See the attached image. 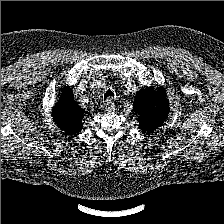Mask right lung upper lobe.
I'll return each mask as SVG.
<instances>
[{
  "label": "right lung upper lobe",
  "instance_id": "cb5924a9",
  "mask_svg": "<svg viewBox=\"0 0 224 224\" xmlns=\"http://www.w3.org/2000/svg\"><path fill=\"white\" fill-rule=\"evenodd\" d=\"M60 99L52 110L55 124L65 131V134L75 135L82 129L84 110L74 101L70 87L62 88Z\"/></svg>",
  "mask_w": 224,
  "mask_h": 224
}]
</instances>
